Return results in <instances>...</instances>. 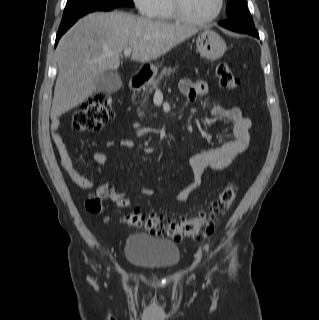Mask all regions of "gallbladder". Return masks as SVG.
Instances as JSON below:
<instances>
[{
	"mask_svg": "<svg viewBox=\"0 0 319 320\" xmlns=\"http://www.w3.org/2000/svg\"><path fill=\"white\" fill-rule=\"evenodd\" d=\"M121 86L122 81L118 74L105 72L100 78L96 80L94 91L97 93H114L118 91Z\"/></svg>",
	"mask_w": 319,
	"mask_h": 320,
	"instance_id": "gallbladder-1",
	"label": "gallbladder"
}]
</instances>
